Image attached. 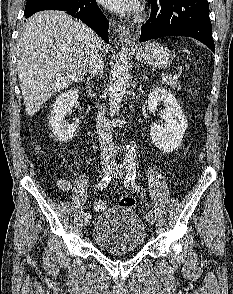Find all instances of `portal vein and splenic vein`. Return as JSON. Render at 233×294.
Instances as JSON below:
<instances>
[{
  "label": "portal vein and splenic vein",
  "mask_w": 233,
  "mask_h": 294,
  "mask_svg": "<svg viewBox=\"0 0 233 294\" xmlns=\"http://www.w3.org/2000/svg\"><path fill=\"white\" fill-rule=\"evenodd\" d=\"M170 78V76H168V75H164V76H162V80L163 81H166L167 79H169ZM178 78V75H175V76H173V79H177Z\"/></svg>",
  "instance_id": "1"
}]
</instances>
